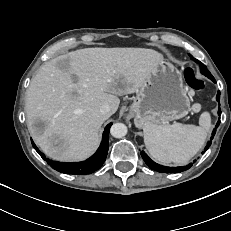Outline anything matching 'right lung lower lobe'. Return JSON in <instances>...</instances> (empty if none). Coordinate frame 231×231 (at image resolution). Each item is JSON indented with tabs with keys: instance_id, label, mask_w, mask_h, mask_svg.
<instances>
[{
	"instance_id": "obj_1",
	"label": "right lung lower lobe",
	"mask_w": 231,
	"mask_h": 231,
	"mask_svg": "<svg viewBox=\"0 0 231 231\" xmlns=\"http://www.w3.org/2000/svg\"><path fill=\"white\" fill-rule=\"evenodd\" d=\"M112 123L108 124L105 127L103 132V138L100 144V147L96 151V153L91 156L89 159L83 162H71V163H63L49 160L45 157L43 153L39 151L34 142L31 140L33 147L40 154V156L55 170L61 173L66 174H75V175H86L98 170L106 160L108 147H109V130Z\"/></svg>"
}]
</instances>
